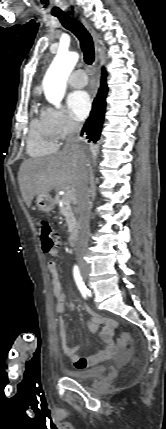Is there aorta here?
<instances>
[{"mask_svg": "<svg viewBox=\"0 0 166 429\" xmlns=\"http://www.w3.org/2000/svg\"><path fill=\"white\" fill-rule=\"evenodd\" d=\"M78 58L76 52H58L44 77L43 88L46 99L56 107L61 104L66 90V80Z\"/></svg>", "mask_w": 166, "mask_h": 429, "instance_id": "1", "label": "aorta"}]
</instances>
